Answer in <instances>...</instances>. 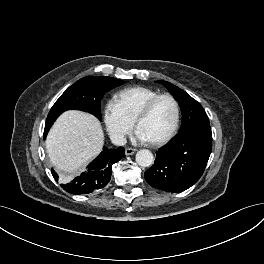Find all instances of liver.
<instances>
[{
  "instance_id": "1",
  "label": "liver",
  "mask_w": 264,
  "mask_h": 264,
  "mask_svg": "<svg viewBox=\"0 0 264 264\" xmlns=\"http://www.w3.org/2000/svg\"><path fill=\"white\" fill-rule=\"evenodd\" d=\"M103 144L104 134L98 119L77 110L64 112L46 139L50 162L64 182L72 180L97 157Z\"/></svg>"
}]
</instances>
